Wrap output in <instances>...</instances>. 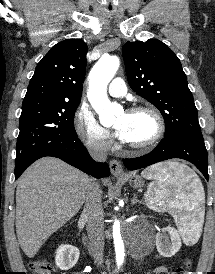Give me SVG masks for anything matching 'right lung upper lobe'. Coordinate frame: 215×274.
Here are the masks:
<instances>
[{
    "label": "right lung upper lobe",
    "instance_id": "1",
    "mask_svg": "<svg viewBox=\"0 0 215 274\" xmlns=\"http://www.w3.org/2000/svg\"><path fill=\"white\" fill-rule=\"evenodd\" d=\"M87 45L81 39L57 43L38 63L23 103L36 100L80 102Z\"/></svg>",
    "mask_w": 215,
    "mask_h": 274
}]
</instances>
